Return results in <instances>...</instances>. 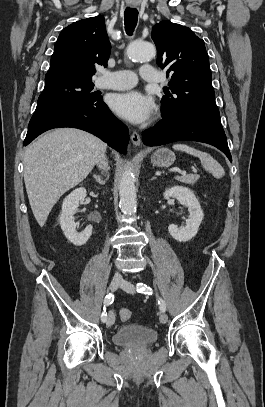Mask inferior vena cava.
Returning a JSON list of instances; mask_svg holds the SVG:
<instances>
[{"label":"inferior vena cava","mask_w":265,"mask_h":407,"mask_svg":"<svg viewBox=\"0 0 265 407\" xmlns=\"http://www.w3.org/2000/svg\"><path fill=\"white\" fill-rule=\"evenodd\" d=\"M108 166L106 158L103 156L99 161H98V167L100 168H106ZM115 277H121L119 273L115 274Z\"/></svg>","instance_id":"1"}]
</instances>
